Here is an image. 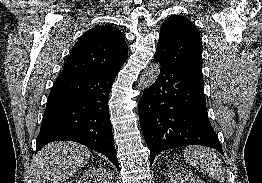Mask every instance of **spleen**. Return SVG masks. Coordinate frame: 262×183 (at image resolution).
Masks as SVG:
<instances>
[{
    "instance_id": "3e777b00",
    "label": "spleen",
    "mask_w": 262,
    "mask_h": 183,
    "mask_svg": "<svg viewBox=\"0 0 262 183\" xmlns=\"http://www.w3.org/2000/svg\"><path fill=\"white\" fill-rule=\"evenodd\" d=\"M184 158L188 164L200 172L219 182H224L225 170L218 155L213 150L201 146H190L185 148Z\"/></svg>"
}]
</instances>
